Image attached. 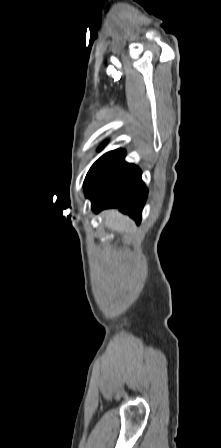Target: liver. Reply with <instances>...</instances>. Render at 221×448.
<instances>
[{
	"label": "liver",
	"mask_w": 221,
	"mask_h": 448,
	"mask_svg": "<svg viewBox=\"0 0 221 448\" xmlns=\"http://www.w3.org/2000/svg\"><path fill=\"white\" fill-rule=\"evenodd\" d=\"M103 217L106 226L119 233L129 231L133 225V222L129 217L121 214L117 210L104 211Z\"/></svg>",
	"instance_id": "6515ba94"
}]
</instances>
